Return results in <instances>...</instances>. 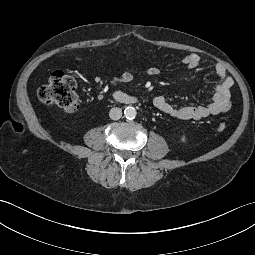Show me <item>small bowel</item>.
<instances>
[{
  "mask_svg": "<svg viewBox=\"0 0 255 255\" xmlns=\"http://www.w3.org/2000/svg\"><path fill=\"white\" fill-rule=\"evenodd\" d=\"M80 60V58H79ZM182 64L189 69H195L202 63L198 54L190 53L185 55ZM215 73L219 78L217 84L212 86L207 92L210 95V101L207 104L176 107L172 105L164 96L153 98V105L162 113L178 120H200L211 115H218L227 112L231 108V88L233 80L228 74L224 65L218 63L215 65ZM159 69L155 66L146 68L144 73L147 76H157ZM136 74L132 71L125 72L110 80L112 85H119L134 80Z\"/></svg>",
  "mask_w": 255,
  "mask_h": 255,
  "instance_id": "small-bowel-1",
  "label": "small bowel"
}]
</instances>
